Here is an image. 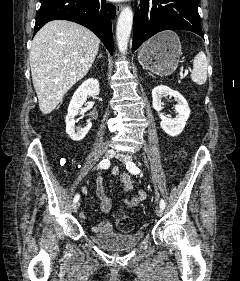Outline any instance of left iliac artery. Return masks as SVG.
Returning <instances> with one entry per match:
<instances>
[{
  "label": "left iliac artery",
  "instance_id": "left-iliac-artery-1",
  "mask_svg": "<svg viewBox=\"0 0 240 281\" xmlns=\"http://www.w3.org/2000/svg\"><path fill=\"white\" fill-rule=\"evenodd\" d=\"M126 168L128 169V171H129L130 173H132V174H134V175L139 174L140 171H141V170L135 165V163H133V162H127ZM159 205H160V207H161L162 209L165 208V202H164L163 199L160 201V204H159Z\"/></svg>",
  "mask_w": 240,
  "mask_h": 281
}]
</instances>
